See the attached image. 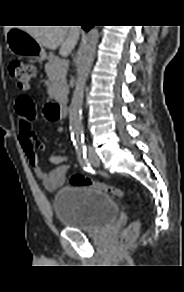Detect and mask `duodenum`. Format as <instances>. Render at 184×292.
Wrapping results in <instances>:
<instances>
[{
    "label": "duodenum",
    "mask_w": 184,
    "mask_h": 292,
    "mask_svg": "<svg viewBox=\"0 0 184 292\" xmlns=\"http://www.w3.org/2000/svg\"><path fill=\"white\" fill-rule=\"evenodd\" d=\"M46 112L52 119H60L68 114L69 108L64 100H58L50 103L46 107Z\"/></svg>",
    "instance_id": "duodenum-1"
}]
</instances>
